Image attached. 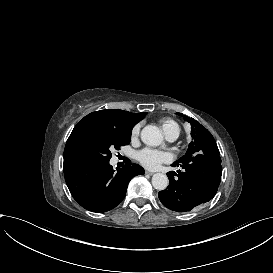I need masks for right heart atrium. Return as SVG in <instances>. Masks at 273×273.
<instances>
[{"label": "right heart atrium", "instance_id": "1", "mask_svg": "<svg viewBox=\"0 0 273 273\" xmlns=\"http://www.w3.org/2000/svg\"><path fill=\"white\" fill-rule=\"evenodd\" d=\"M139 132H140L139 126H135L131 132L132 137H137L139 135Z\"/></svg>", "mask_w": 273, "mask_h": 273}]
</instances>
